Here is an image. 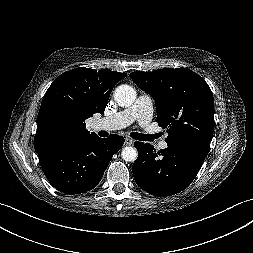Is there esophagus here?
Instances as JSON below:
<instances>
[{"label": "esophagus", "instance_id": "1", "mask_svg": "<svg viewBox=\"0 0 253 253\" xmlns=\"http://www.w3.org/2000/svg\"><path fill=\"white\" fill-rule=\"evenodd\" d=\"M132 144H133V140L130 139V138H128V137H126V138H125V145H126V146H130V145H132Z\"/></svg>", "mask_w": 253, "mask_h": 253}]
</instances>
